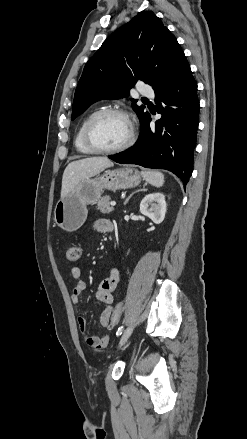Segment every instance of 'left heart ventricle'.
Returning a JSON list of instances; mask_svg holds the SVG:
<instances>
[{
  "label": "left heart ventricle",
  "instance_id": "b2bd125f",
  "mask_svg": "<svg viewBox=\"0 0 247 439\" xmlns=\"http://www.w3.org/2000/svg\"><path fill=\"white\" fill-rule=\"evenodd\" d=\"M92 136L97 146L104 149L115 148L127 140L128 122L119 116H106L95 124Z\"/></svg>",
  "mask_w": 247,
  "mask_h": 439
}]
</instances>
